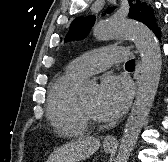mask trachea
Returning a JSON list of instances; mask_svg holds the SVG:
<instances>
[{
	"label": "trachea",
	"mask_w": 168,
	"mask_h": 162,
	"mask_svg": "<svg viewBox=\"0 0 168 162\" xmlns=\"http://www.w3.org/2000/svg\"><path fill=\"white\" fill-rule=\"evenodd\" d=\"M127 68H134L135 67V61L132 59L128 61L125 65Z\"/></svg>",
	"instance_id": "trachea-1"
}]
</instances>
